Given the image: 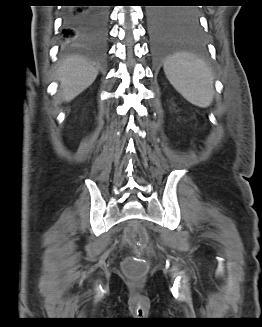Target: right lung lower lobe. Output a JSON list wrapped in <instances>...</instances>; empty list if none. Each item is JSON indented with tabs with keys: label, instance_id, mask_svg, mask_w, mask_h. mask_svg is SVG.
<instances>
[{
	"label": "right lung lower lobe",
	"instance_id": "1",
	"mask_svg": "<svg viewBox=\"0 0 262 327\" xmlns=\"http://www.w3.org/2000/svg\"><path fill=\"white\" fill-rule=\"evenodd\" d=\"M62 31L65 45L103 47L108 35V13L102 7L70 6L65 9Z\"/></svg>",
	"mask_w": 262,
	"mask_h": 327
}]
</instances>
